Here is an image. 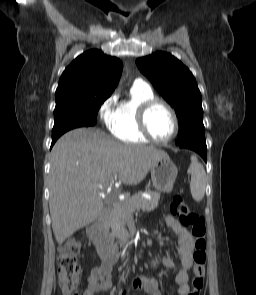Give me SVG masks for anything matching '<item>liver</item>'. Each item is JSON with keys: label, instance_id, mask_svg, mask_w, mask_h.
I'll list each match as a JSON object with an SVG mask.
<instances>
[{"label": "liver", "instance_id": "1", "mask_svg": "<svg viewBox=\"0 0 256 295\" xmlns=\"http://www.w3.org/2000/svg\"><path fill=\"white\" fill-rule=\"evenodd\" d=\"M163 155L154 146L122 144L98 129L64 134L50 160L49 207L58 244L98 218L103 209L101 189L116 179L139 184Z\"/></svg>", "mask_w": 256, "mask_h": 295}]
</instances>
